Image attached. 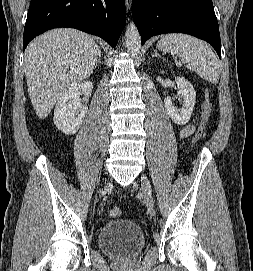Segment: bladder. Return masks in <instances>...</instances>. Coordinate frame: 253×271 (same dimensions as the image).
<instances>
[{"mask_svg": "<svg viewBox=\"0 0 253 271\" xmlns=\"http://www.w3.org/2000/svg\"><path fill=\"white\" fill-rule=\"evenodd\" d=\"M99 249L115 258H133L145 247L146 238L140 226L132 220L117 219L105 223L97 232Z\"/></svg>", "mask_w": 253, "mask_h": 271, "instance_id": "31cf9c89", "label": "bladder"}]
</instances>
